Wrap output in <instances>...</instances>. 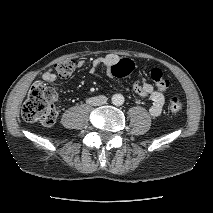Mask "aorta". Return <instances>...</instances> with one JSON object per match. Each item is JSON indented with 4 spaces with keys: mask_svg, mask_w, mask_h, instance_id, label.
Masks as SVG:
<instances>
[{
    "mask_svg": "<svg viewBox=\"0 0 213 213\" xmlns=\"http://www.w3.org/2000/svg\"><path fill=\"white\" fill-rule=\"evenodd\" d=\"M124 101V96L122 94H115L112 96V103L116 106L122 105Z\"/></svg>",
    "mask_w": 213,
    "mask_h": 213,
    "instance_id": "762f6f07",
    "label": "aorta"
}]
</instances>
